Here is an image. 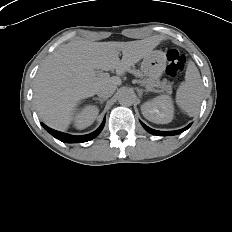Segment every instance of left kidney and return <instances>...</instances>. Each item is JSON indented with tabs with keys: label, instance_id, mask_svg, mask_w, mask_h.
<instances>
[{
	"label": "left kidney",
	"instance_id": "obj_1",
	"mask_svg": "<svg viewBox=\"0 0 232 232\" xmlns=\"http://www.w3.org/2000/svg\"><path fill=\"white\" fill-rule=\"evenodd\" d=\"M143 116L156 124L169 123L174 118V105L169 95H159L141 105Z\"/></svg>",
	"mask_w": 232,
	"mask_h": 232
}]
</instances>
